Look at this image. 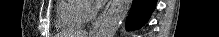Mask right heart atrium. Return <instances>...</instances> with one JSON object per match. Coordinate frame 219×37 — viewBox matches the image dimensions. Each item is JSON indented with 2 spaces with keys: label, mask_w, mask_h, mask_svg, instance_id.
I'll list each match as a JSON object with an SVG mask.
<instances>
[{
  "label": "right heart atrium",
  "mask_w": 219,
  "mask_h": 37,
  "mask_svg": "<svg viewBox=\"0 0 219 37\" xmlns=\"http://www.w3.org/2000/svg\"><path fill=\"white\" fill-rule=\"evenodd\" d=\"M83 4H84V9L82 11V17L85 21V20H89L92 18L94 14V10H93V7L90 1H84Z\"/></svg>",
  "instance_id": "1"
}]
</instances>
